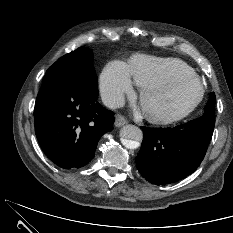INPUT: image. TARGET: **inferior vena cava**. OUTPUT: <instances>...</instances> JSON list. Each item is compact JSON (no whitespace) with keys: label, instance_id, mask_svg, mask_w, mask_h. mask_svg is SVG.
Here are the masks:
<instances>
[{"label":"inferior vena cava","instance_id":"1","mask_svg":"<svg viewBox=\"0 0 233 233\" xmlns=\"http://www.w3.org/2000/svg\"><path fill=\"white\" fill-rule=\"evenodd\" d=\"M102 102L105 106L111 109H116L124 106L125 99L122 93H102Z\"/></svg>","mask_w":233,"mask_h":233}]
</instances>
